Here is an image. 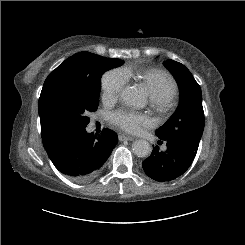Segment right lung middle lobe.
<instances>
[{"instance_id":"1","label":"right lung middle lobe","mask_w":245,"mask_h":245,"mask_svg":"<svg viewBox=\"0 0 245 245\" xmlns=\"http://www.w3.org/2000/svg\"><path fill=\"white\" fill-rule=\"evenodd\" d=\"M79 61L85 71L82 77L56 76L44 82L38 109L41 132L48 137L85 128L89 113L98 108L102 74L124 63L89 52Z\"/></svg>"}]
</instances>
